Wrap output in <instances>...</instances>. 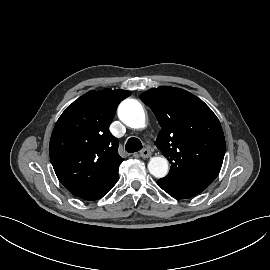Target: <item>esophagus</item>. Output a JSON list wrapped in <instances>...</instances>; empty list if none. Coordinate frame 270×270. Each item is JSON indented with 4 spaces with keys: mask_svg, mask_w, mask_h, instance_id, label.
Here are the masks:
<instances>
[{
    "mask_svg": "<svg viewBox=\"0 0 270 270\" xmlns=\"http://www.w3.org/2000/svg\"><path fill=\"white\" fill-rule=\"evenodd\" d=\"M151 151L148 148H144L143 150L140 151V156L142 158H149L151 156Z\"/></svg>",
    "mask_w": 270,
    "mask_h": 270,
    "instance_id": "obj_1",
    "label": "esophagus"
}]
</instances>
